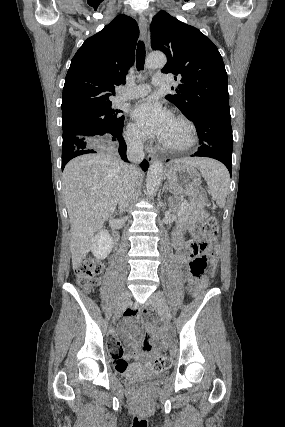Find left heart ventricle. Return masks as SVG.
I'll return each instance as SVG.
<instances>
[{
	"instance_id": "obj_1",
	"label": "left heart ventricle",
	"mask_w": 285,
	"mask_h": 427,
	"mask_svg": "<svg viewBox=\"0 0 285 427\" xmlns=\"http://www.w3.org/2000/svg\"><path fill=\"white\" fill-rule=\"evenodd\" d=\"M189 134L185 125L172 119L165 142L173 145H182L188 141Z\"/></svg>"
}]
</instances>
